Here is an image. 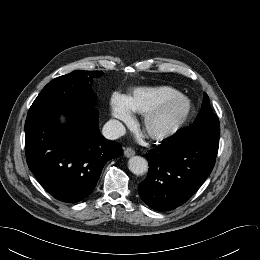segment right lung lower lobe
<instances>
[{
    "instance_id": "obj_1",
    "label": "right lung lower lobe",
    "mask_w": 260,
    "mask_h": 260,
    "mask_svg": "<svg viewBox=\"0 0 260 260\" xmlns=\"http://www.w3.org/2000/svg\"><path fill=\"white\" fill-rule=\"evenodd\" d=\"M67 114L60 125L57 117ZM25 151L31 172L54 198L65 203L86 199L104 165L120 157V144L99 132L93 105L44 103L32 105L25 122Z\"/></svg>"
}]
</instances>
